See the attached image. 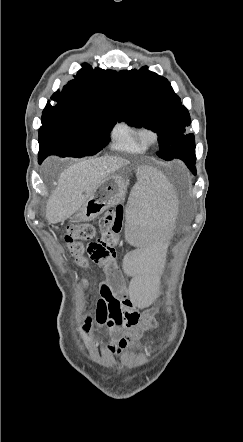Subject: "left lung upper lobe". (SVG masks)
Here are the masks:
<instances>
[{
  "instance_id": "obj_1",
  "label": "left lung upper lobe",
  "mask_w": 243,
  "mask_h": 442,
  "mask_svg": "<svg viewBox=\"0 0 243 442\" xmlns=\"http://www.w3.org/2000/svg\"><path fill=\"white\" fill-rule=\"evenodd\" d=\"M119 75V121L156 132L160 147L157 155L165 160L179 158L195 174V138L184 134L191 123L190 116L170 82L146 66L120 71Z\"/></svg>"
}]
</instances>
